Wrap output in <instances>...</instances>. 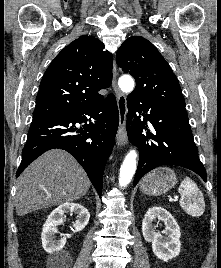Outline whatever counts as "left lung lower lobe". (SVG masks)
Returning <instances> with one entry per match:
<instances>
[{
    "label": "left lung lower lobe",
    "instance_id": "1",
    "mask_svg": "<svg viewBox=\"0 0 221 268\" xmlns=\"http://www.w3.org/2000/svg\"><path fill=\"white\" fill-rule=\"evenodd\" d=\"M127 106L128 138L140 151L134 185L147 172L162 165L188 168L206 181V170L198 157L185 106L151 102L131 94ZM147 121L153 126V133Z\"/></svg>",
    "mask_w": 221,
    "mask_h": 268
}]
</instances>
